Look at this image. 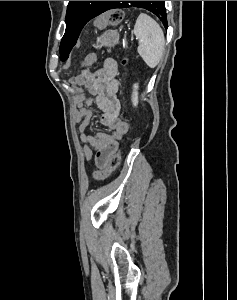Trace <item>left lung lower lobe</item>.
<instances>
[{
    "label": "left lung lower lobe",
    "mask_w": 237,
    "mask_h": 300,
    "mask_svg": "<svg viewBox=\"0 0 237 300\" xmlns=\"http://www.w3.org/2000/svg\"><path fill=\"white\" fill-rule=\"evenodd\" d=\"M115 8H120V1H110L107 6L104 8V11L110 10V9H115ZM160 9L163 11L165 10V4L163 1H160ZM167 28V27H166Z\"/></svg>",
    "instance_id": "obj_1"
}]
</instances>
